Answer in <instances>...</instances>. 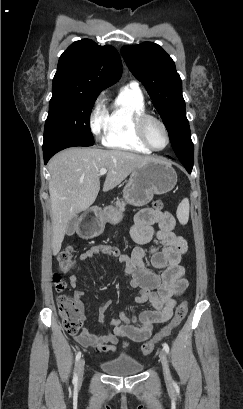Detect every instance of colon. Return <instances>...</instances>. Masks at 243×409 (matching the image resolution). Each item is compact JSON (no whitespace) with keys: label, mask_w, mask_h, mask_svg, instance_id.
<instances>
[{"label":"colon","mask_w":243,"mask_h":409,"mask_svg":"<svg viewBox=\"0 0 243 409\" xmlns=\"http://www.w3.org/2000/svg\"><path fill=\"white\" fill-rule=\"evenodd\" d=\"M154 210H161L163 203L161 201H154L152 204ZM76 264L72 255V247L63 250L58 257V270L62 273L68 274L75 270ZM54 283L57 291L62 292L66 288V283L61 279V276L56 273L54 275ZM58 311L61 317L62 326L66 332L76 334L80 331L83 324V317L80 312V305L78 301L67 295L59 296L57 300ZM188 312V304L186 302L180 303L175 311L174 317L171 321L159 332V334L151 341L142 346V353L144 355L150 354L158 341L167 337L176 329L184 320Z\"/></svg>","instance_id":"5ec220e1"}]
</instances>
